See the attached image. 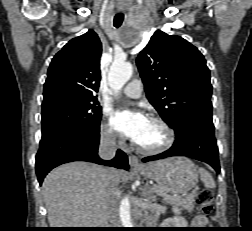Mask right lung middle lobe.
<instances>
[{"mask_svg":"<svg viewBox=\"0 0 252 231\" xmlns=\"http://www.w3.org/2000/svg\"><path fill=\"white\" fill-rule=\"evenodd\" d=\"M97 99L72 94L45 98L42 103V136L61 128L100 131L101 107Z\"/></svg>","mask_w":252,"mask_h":231,"instance_id":"right-lung-middle-lobe-1","label":"right lung middle lobe"}]
</instances>
